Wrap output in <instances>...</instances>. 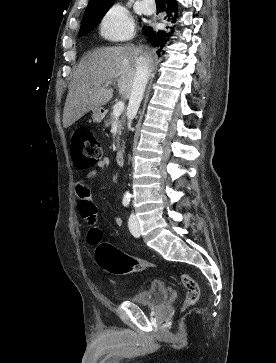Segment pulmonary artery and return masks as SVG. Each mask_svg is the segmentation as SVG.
<instances>
[{"label": "pulmonary artery", "mask_w": 276, "mask_h": 363, "mask_svg": "<svg viewBox=\"0 0 276 363\" xmlns=\"http://www.w3.org/2000/svg\"><path fill=\"white\" fill-rule=\"evenodd\" d=\"M148 1H151V0H143L142 1V9H143V12L145 13V14H152L153 13V11H154V9L153 8H150L149 6H148Z\"/></svg>", "instance_id": "obj_1"}]
</instances>
